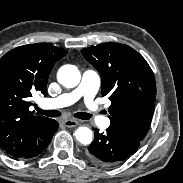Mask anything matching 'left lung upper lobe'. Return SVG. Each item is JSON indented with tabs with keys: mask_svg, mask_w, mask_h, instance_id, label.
Here are the masks:
<instances>
[{
	"mask_svg": "<svg viewBox=\"0 0 183 183\" xmlns=\"http://www.w3.org/2000/svg\"><path fill=\"white\" fill-rule=\"evenodd\" d=\"M81 52L100 73L102 95L112 103L110 127L141 141L151 123L156 94L154 74L146 60L133 48L111 42Z\"/></svg>",
	"mask_w": 183,
	"mask_h": 183,
	"instance_id": "5c2ea615",
	"label": "left lung upper lobe"
}]
</instances>
